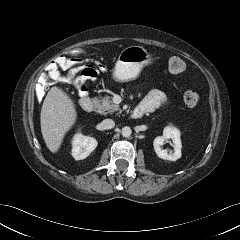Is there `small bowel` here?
Here are the masks:
<instances>
[{
	"mask_svg": "<svg viewBox=\"0 0 240 240\" xmlns=\"http://www.w3.org/2000/svg\"><path fill=\"white\" fill-rule=\"evenodd\" d=\"M95 74L91 78L93 81L97 79L98 71L107 72L108 68L96 62L95 63ZM61 70H65V67L58 61V59H54L51 61L45 71L42 73L41 78L48 82V81H55V80H68L70 77H63L61 75ZM79 94L82 96L87 95L88 89L84 86L82 89H79ZM166 102V95L161 90H152L148 93V95L141 101L138 108L144 113L153 112L155 109L161 107Z\"/></svg>",
	"mask_w": 240,
	"mask_h": 240,
	"instance_id": "c3829d8e",
	"label": "small bowel"
}]
</instances>
